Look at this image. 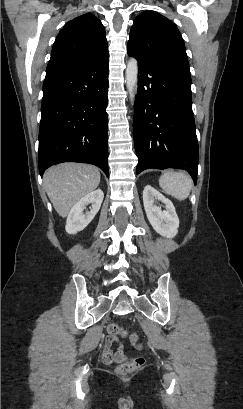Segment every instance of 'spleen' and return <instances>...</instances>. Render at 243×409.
<instances>
[{"mask_svg": "<svg viewBox=\"0 0 243 409\" xmlns=\"http://www.w3.org/2000/svg\"><path fill=\"white\" fill-rule=\"evenodd\" d=\"M159 185L166 194L179 200H184L189 195L192 180L185 172H166L161 175Z\"/></svg>", "mask_w": 243, "mask_h": 409, "instance_id": "1", "label": "spleen"}]
</instances>
